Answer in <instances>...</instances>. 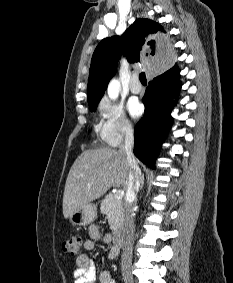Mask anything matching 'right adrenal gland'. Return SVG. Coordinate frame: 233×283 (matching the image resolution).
I'll return each mask as SVG.
<instances>
[{
  "label": "right adrenal gland",
  "instance_id": "1",
  "mask_svg": "<svg viewBox=\"0 0 233 283\" xmlns=\"http://www.w3.org/2000/svg\"><path fill=\"white\" fill-rule=\"evenodd\" d=\"M143 185H144V176H142L141 188L143 187Z\"/></svg>",
  "mask_w": 233,
  "mask_h": 283
}]
</instances>
